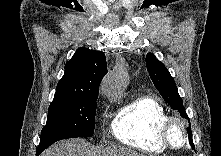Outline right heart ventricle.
<instances>
[{
	"label": "right heart ventricle",
	"instance_id": "obj_1",
	"mask_svg": "<svg viewBox=\"0 0 221 156\" xmlns=\"http://www.w3.org/2000/svg\"><path fill=\"white\" fill-rule=\"evenodd\" d=\"M169 114L155 98L138 97L119 110L112 122V133L121 144L148 154H161L167 147L160 128Z\"/></svg>",
	"mask_w": 221,
	"mask_h": 156
}]
</instances>
